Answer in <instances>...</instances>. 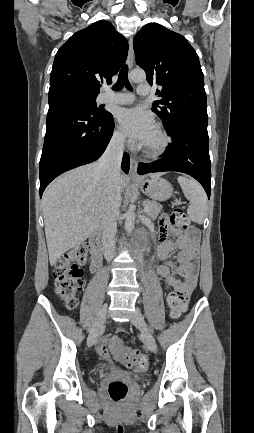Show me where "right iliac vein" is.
Listing matches in <instances>:
<instances>
[{
    "instance_id": "obj_1",
    "label": "right iliac vein",
    "mask_w": 254,
    "mask_h": 433,
    "mask_svg": "<svg viewBox=\"0 0 254 433\" xmlns=\"http://www.w3.org/2000/svg\"><path fill=\"white\" fill-rule=\"evenodd\" d=\"M106 313H107V306H104L99 312L97 320L89 333L87 339V344L89 347L93 346V344L96 342L99 332L101 331L102 325L105 322Z\"/></svg>"
}]
</instances>
